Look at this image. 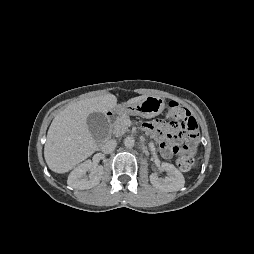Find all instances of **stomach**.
<instances>
[{"instance_id":"obj_1","label":"stomach","mask_w":254,"mask_h":254,"mask_svg":"<svg viewBox=\"0 0 254 254\" xmlns=\"http://www.w3.org/2000/svg\"><path fill=\"white\" fill-rule=\"evenodd\" d=\"M165 108V101L158 96H147L141 102L128 105L124 103L117 106L113 111L116 114H130L138 115L143 118H152L163 112Z\"/></svg>"}]
</instances>
